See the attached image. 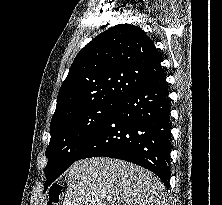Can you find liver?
Instances as JSON below:
<instances>
[{"label":"liver","instance_id":"6515ba94","mask_svg":"<svg viewBox=\"0 0 222 205\" xmlns=\"http://www.w3.org/2000/svg\"><path fill=\"white\" fill-rule=\"evenodd\" d=\"M164 191L162 181L140 166L94 157L70 167L63 205H164Z\"/></svg>","mask_w":222,"mask_h":205}]
</instances>
